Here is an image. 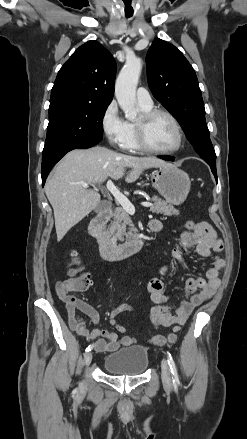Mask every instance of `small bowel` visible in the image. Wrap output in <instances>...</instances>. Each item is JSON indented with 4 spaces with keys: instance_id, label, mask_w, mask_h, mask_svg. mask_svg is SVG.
<instances>
[{
    "instance_id": "obj_1",
    "label": "small bowel",
    "mask_w": 247,
    "mask_h": 439,
    "mask_svg": "<svg viewBox=\"0 0 247 439\" xmlns=\"http://www.w3.org/2000/svg\"><path fill=\"white\" fill-rule=\"evenodd\" d=\"M162 228L163 224L159 220L154 219L149 223L151 232H160ZM222 247V242L217 237L213 228L205 222L197 223V227L193 231L181 233L179 242L172 250L175 261L181 266H186L188 264L186 254L206 258L214 253L212 266L207 269L205 279L189 278L186 281V299L176 307L174 312H172V308L167 304L170 300V295L163 293L164 284L162 281V277L172 272L173 268L170 265H164L159 270V276L149 280L147 290L151 301L156 304L150 311L152 323L159 327L174 326L173 333L167 337L155 336L150 340L151 344L163 346L174 343L177 338V332L185 324L192 311L213 296L220 284V271L225 265L224 260L219 255ZM72 283L73 279L58 281L56 283V292L65 305L68 324L73 331L87 340L93 341L92 345L98 353L113 352L120 347L130 346L135 343L133 337L127 335L119 337L114 331L87 329L84 321L76 313V310L87 315L93 324L99 323L100 315L90 304L70 294L73 291ZM124 311L136 314L134 307L128 304L116 307L109 314L110 326L114 327L120 334H124L126 329L116 318Z\"/></svg>"
}]
</instances>
